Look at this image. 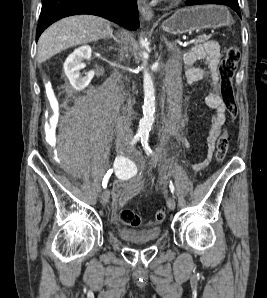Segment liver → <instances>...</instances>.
Listing matches in <instances>:
<instances>
[{
	"mask_svg": "<svg viewBox=\"0 0 267 298\" xmlns=\"http://www.w3.org/2000/svg\"><path fill=\"white\" fill-rule=\"evenodd\" d=\"M112 29L105 19L92 15L64 18L47 28L38 40V62L43 63L73 46L110 36Z\"/></svg>",
	"mask_w": 267,
	"mask_h": 298,
	"instance_id": "obj_1",
	"label": "liver"
}]
</instances>
